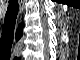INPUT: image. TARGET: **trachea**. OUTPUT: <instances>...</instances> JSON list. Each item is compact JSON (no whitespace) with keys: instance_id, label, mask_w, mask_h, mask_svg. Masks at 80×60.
I'll use <instances>...</instances> for the list:
<instances>
[{"instance_id":"obj_1","label":"trachea","mask_w":80,"mask_h":60,"mask_svg":"<svg viewBox=\"0 0 80 60\" xmlns=\"http://www.w3.org/2000/svg\"><path fill=\"white\" fill-rule=\"evenodd\" d=\"M19 10L18 0H9V5L4 19V27L0 38V54L2 57L11 56V48L14 38V29Z\"/></svg>"}]
</instances>
